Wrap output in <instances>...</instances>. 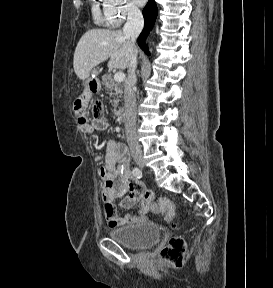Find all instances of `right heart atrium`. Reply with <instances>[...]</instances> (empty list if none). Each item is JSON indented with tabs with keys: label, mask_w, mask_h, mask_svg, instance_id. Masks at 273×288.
Returning a JSON list of instances; mask_svg holds the SVG:
<instances>
[{
	"label": "right heart atrium",
	"mask_w": 273,
	"mask_h": 288,
	"mask_svg": "<svg viewBox=\"0 0 273 288\" xmlns=\"http://www.w3.org/2000/svg\"><path fill=\"white\" fill-rule=\"evenodd\" d=\"M104 12L111 26H119L125 20L139 14V9L131 0H102Z\"/></svg>",
	"instance_id": "obj_1"
}]
</instances>
